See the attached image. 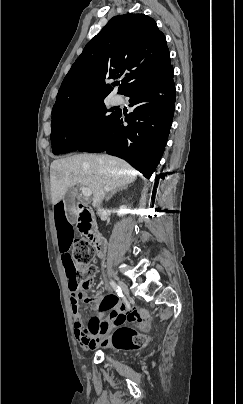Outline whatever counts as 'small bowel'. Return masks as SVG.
<instances>
[{
  "instance_id": "obj_1",
  "label": "small bowel",
  "mask_w": 243,
  "mask_h": 404,
  "mask_svg": "<svg viewBox=\"0 0 243 404\" xmlns=\"http://www.w3.org/2000/svg\"><path fill=\"white\" fill-rule=\"evenodd\" d=\"M53 214L62 264L71 292L70 304L74 321V333L83 349L94 350L97 347L107 345L113 326L121 327L126 323H137L144 329L146 323L140 313L129 306L116 308L118 298L115 295H96L89 298L84 292L79 290L78 285L75 283L72 255L70 253L73 241V226L63 201H58L54 205ZM79 302L91 304L92 308L97 312V315L89 321L88 327L83 325L81 315L79 314ZM106 312H110L109 321L102 320V316Z\"/></svg>"
}]
</instances>
